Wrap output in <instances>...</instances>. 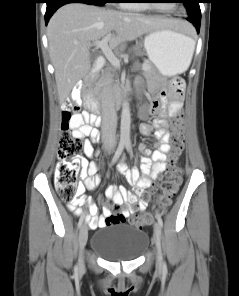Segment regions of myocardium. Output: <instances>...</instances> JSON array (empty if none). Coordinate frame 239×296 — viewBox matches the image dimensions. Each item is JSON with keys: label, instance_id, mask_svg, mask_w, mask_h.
<instances>
[{"label": "myocardium", "instance_id": "myocardium-1", "mask_svg": "<svg viewBox=\"0 0 239 296\" xmlns=\"http://www.w3.org/2000/svg\"><path fill=\"white\" fill-rule=\"evenodd\" d=\"M154 0H146V4L145 6L147 7H150L154 10H157V11H161V12H167L168 10H165L163 8H161L160 6H158L157 4L153 3Z\"/></svg>", "mask_w": 239, "mask_h": 296}]
</instances>
